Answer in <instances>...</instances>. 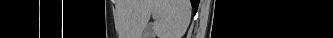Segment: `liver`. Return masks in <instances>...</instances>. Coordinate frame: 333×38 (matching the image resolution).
<instances>
[{"mask_svg":"<svg viewBox=\"0 0 333 38\" xmlns=\"http://www.w3.org/2000/svg\"><path fill=\"white\" fill-rule=\"evenodd\" d=\"M151 14H155L152 29L158 38H181L191 17L189 0H137L136 32L141 36Z\"/></svg>","mask_w":333,"mask_h":38,"instance_id":"obj_1","label":"liver"}]
</instances>
